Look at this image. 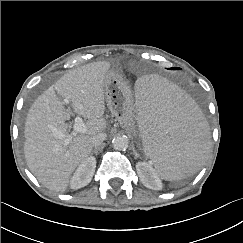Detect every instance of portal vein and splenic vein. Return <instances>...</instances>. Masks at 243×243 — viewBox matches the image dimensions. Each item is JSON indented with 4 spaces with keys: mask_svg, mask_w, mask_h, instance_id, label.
I'll list each match as a JSON object with an SVG mask.
<instances>
[{
    "mask_svg": "<svg viewBox=\"0 0 243 243\" xmlns=\"http://www.w3.org/2000/svg\"><path fill=\"white\" fill-rule=\"evenodd\" d=\"M64 103L65 104H69V100L68 99H65L64 100ZM52 129H53L54 135L56 137H58V138H65L66 137V143H69V141L74 136H76L77 134H79V133H85L86 132V125L83 122L82 118L79 117V116H77L75 118V124L73 126V131L70 134L65 135L62 132H60L57 129H55V128H52Z\"/></svg>",
    "mask_w": 243,
    "mask_h": 243,
    "instance_id": "1",
    "label": "portal vein and splenic vein"
}]
</instances>
